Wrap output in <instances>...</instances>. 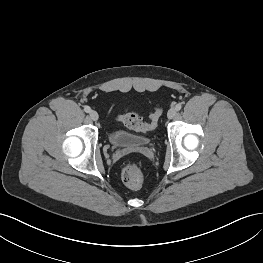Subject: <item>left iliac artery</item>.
Returning a JSON list of instances; mask_svg holds the SVG:
<instances>
[{
    "label": "left iliac artery",
    "mask_w": 263,
    "mask_h": 263,
    "mask_svg": "<svg viewBox=\"0 0 263 263\" xmlns=\"http://www.w3.org/2000/svg\"><path fill=\"white\" fill-rule=\"evenodd\" d=\"M181 108H182V105L180 103L175 106V109L177 111L181 110Z\"/></svg>",
    "instance_id": "obj_1"
}]
</instances>
